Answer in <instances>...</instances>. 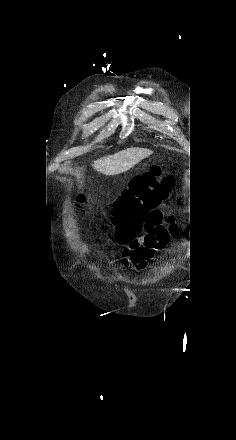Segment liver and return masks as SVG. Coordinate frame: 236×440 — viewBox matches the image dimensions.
I'll use <instances>...</instances> for the list:
<instances>
[{
	"label": "liver",
	"instance_id": "1",
	"mask_svg": "<svg viewBox=\"0 0 236 440\" xmlns=\"http://www.w3.org/2000/svg\"><path fill=\"white\" fill-rule=\"evenodd\" d=\"M152 153L149 149L131 147L94 161L93 167L104 175H118L128 171Z\"/></svg>",
	"mask_w": 236,
	"mask_h": 440
}]
</instances>
